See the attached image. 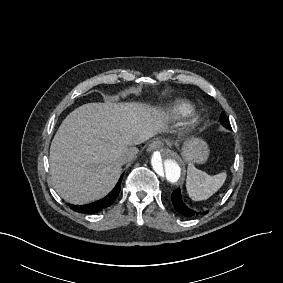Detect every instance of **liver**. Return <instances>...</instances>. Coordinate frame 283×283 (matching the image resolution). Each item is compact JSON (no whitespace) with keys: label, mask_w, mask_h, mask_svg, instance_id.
<instances>
[{"label":"liver","mask_w":283,"mask_h":283,"mask_svg":"<svg viewBox=\"0 0 283 283\" xmlns=\"http://www.w3.org/2000/svg\"><path fill=\"white\" fill-rule=\"evenodd\" d=\"M169 116L145 103H88L62 122L50 146V173L56 192L72 204L106 196L116 185L128 147L167 131Z\"/></svg>","instance_id":"obj_1"}]
</instances>
